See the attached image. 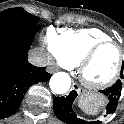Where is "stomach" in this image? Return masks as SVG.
<instances>
[{"label":"stomach","mask_w":124,"mask_h":124,"mask_svg":"<svg viewBox=\"0 0 124 124\" xmlns=\"http://www.w3.org/2000/svg\"><path fill=\"white\" fill-rule=\"evenodd\" d=\"M85 98H88L90 99L93 103L96 102V103H102L104 100L102 97H95V96H85ZM97 107V106H96Z\"/></svg>","instance_id":"stomach-1"}]
</instances>
